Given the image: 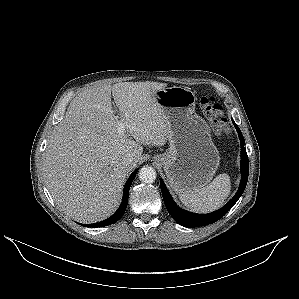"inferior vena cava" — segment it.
I'll return each instance as SVG.
<instances>
[{
    "label": "inferior vena cava",
    "mask_w": 299,
    "mask_h": 299,
    "mask_svg": "<svg viewBox=\"0 0 299 299\" xmlns=\"http://www.w3.org/2000/svg\"><path fill=\"white\" fill-rule=\"evenodd\" d=\"M133 161V157L131 155H127L123 158V165L129 166Z\"/></svg>",
    "instance_id": "inferior-vena-cava-1"
}]
</instances>
